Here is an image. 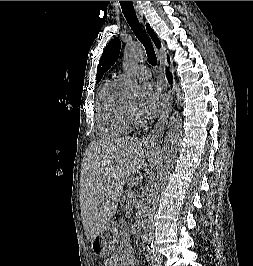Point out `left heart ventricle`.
Returning <instances> with one entry per match:
<instances>
[{
	"mask_svg": "<svg viewBox=\"0 0 253 266\" xmlns=\"http://www.w3.org/2000/svg\"><path fill=\"white\" fill-rule=\"evenodd\" d=\"M130 106H131L133 109H135V108H137V106H138V102H131V103H130Z\"/></svg>",
	"mask_w": 253,
	"mask_h": 266,
	"instance_id": "obj_1",
	"label": "left heart ventricle"
}]
</instances>
